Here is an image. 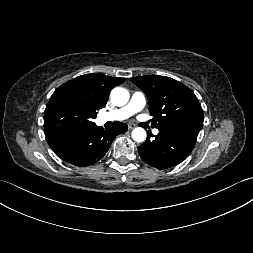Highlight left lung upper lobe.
<instances>
[{
	"label": "left lung upper lobe",
	"mask_w": 253,
	"mask_h": 253,
	"mask_svg": "<svg viewBox=\"0 0 253 253\" xmlns=\"http://www.w3.org/2000/svg\"><path fill=\"white\" fill-rule=\"evenodd\" d=\"M131 81L147 95L154 127L198 135L204 114L196 95L187 86L166 76H137Z\"/></svg>",
	"instance_id": "left-lung-upper-lobe-1"
}]
</instances>
